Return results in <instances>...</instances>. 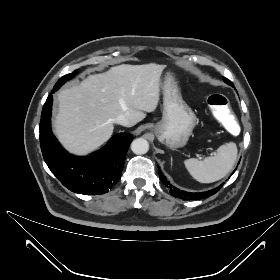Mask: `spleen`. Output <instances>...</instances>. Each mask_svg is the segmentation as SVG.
<instances>
[{
    "mask_svg": "<svg viewBox=\"0 0 280 280\" xmlns=\"http://www.w3.org/2000/svg\"><path fill=\"white\" fill-rule=\"evenodd\" d=\"M236 158L237 146L234 142H229L220 146L214 156L203 160L187 159L184 164L195 180L200 183H212L224 178L231 171Z\"/></svg>",
    "mask_w": 280,
    "mask_h": 280,
    "instance_id": "spleen-1",
    "label": "spleen"
}]
</instances>
